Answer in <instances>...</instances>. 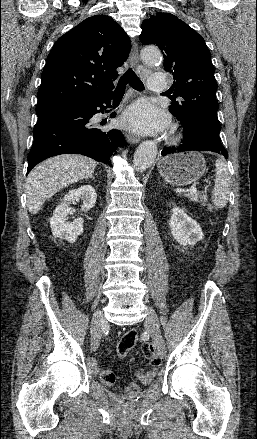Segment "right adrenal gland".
Returning <instances> with one entry per match:
<instances>
[{"label":"right adrenal gland","mask_w":257,"mask_h":439,"mask_svg":"<svg viewBox=\"0 0 257 439\" xmlns=\"http://www.w3.org/2000/svg\"><path fill=\"white\" fill-rule=\"evenodd\" d=\"M97 175V174H96ZM90 179H95V177L93 175L90 176Z\"/></svg>","instance_id":"1"}]
</instances>
